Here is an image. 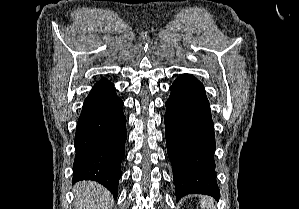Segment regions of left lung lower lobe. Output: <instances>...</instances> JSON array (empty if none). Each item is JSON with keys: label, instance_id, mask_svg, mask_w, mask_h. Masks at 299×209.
<instances>
[{"label": "left lung lower lobe", "instance_id": "1", "mask_svg": "<svg viewBox=\"0 0 299 209\" xmlns=\"http://www.w3.org/2000/svg\"><path fill=\"white\" fill-rule=\"evenodd\" d=\"M170 90L164 122L176 199L191 193L218 199L214 123L204 86L192 75L183 74Z\"/></svg>", "mask_w": 299, "mask_h": 209}]
</instances>
